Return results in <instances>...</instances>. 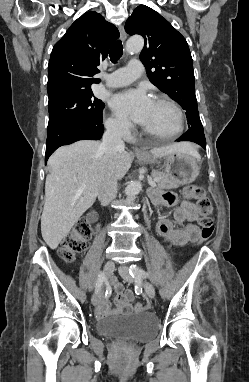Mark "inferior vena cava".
Listing matches in <instances>:
<instances>
[{
  "instance_id": "inferior-vena-cava-1",
  "label": "inferior vena cava",
  "mask_w": 249,
  "mask_h": 382,
  "mask_svg": "<svg viewBox=\"0 0 249 382\" xmlns=\"http://www.w3.org/2000/svg\"><path fill=\"white\" fill-rule=\"evenodd\" d=\"M122 127L120 123L107 126L103 135L101 149L105 151L108 158L112 159L119 151H124L125 144L122 140ZM117 177L112 167L105 170L99 186L98 199L102 205H108L117 195Z\"/></svg>"
}]
</instances>
